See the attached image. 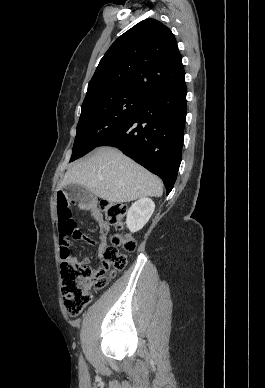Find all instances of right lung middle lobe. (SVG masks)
<instances>
[{"label": "right lung middle lobe", "instance_id": "obj_1", "mask_svg": "<svg viewBox=\"0 0 265 388\" xmlns=\"http://www.w3.org/2000/svg\"><path fill=\"white\" fill-rule=\"evenodd\" d=\"M144 96L122 91L101 90L85 97L77 125L70 161L95 147L139 107Z\"/></svg>", "mask_w": 265, "mask_h": 388}]
</instances>
